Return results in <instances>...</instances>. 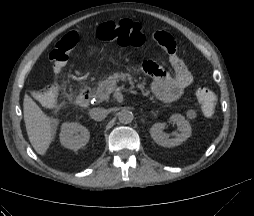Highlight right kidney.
Listing matches in <instances>:
<instances>
[{
	"instance_id": "1",
	"label": "right kidney",
	"mask_w": 254,
	"mask_h": 216,
	"mask_svg": "<svg viewBox=\"0 0 254 216\" xmlns=\"http://www.w3.org/2000/svg\"><path fill=\"white\" fill-rule=\"evenodd\" d=\"M59 136L64 147L77 151L88 143L90 132L79 123L66 122L62 124Z\"/></svg>"
}]
</instances>
